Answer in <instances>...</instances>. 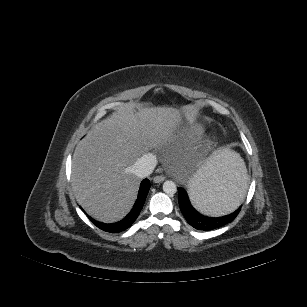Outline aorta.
<instances>
[{"mask_svg": "<svg viewBox=\"0 0 307 307\" xmlns=\"http://www.w3.org/2000/svg\"><path fill=\"white\" fill-rule=\"evenodd\" d=\"M163 191L168 195H173L177 191V186L173 181L167 180L163 184Z\"/></svg>", "mask_w": 307, "mask_h": 307, "instance_id": "1", "label": "aorta"}]
</instances>
